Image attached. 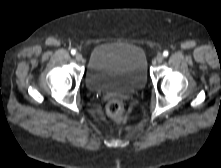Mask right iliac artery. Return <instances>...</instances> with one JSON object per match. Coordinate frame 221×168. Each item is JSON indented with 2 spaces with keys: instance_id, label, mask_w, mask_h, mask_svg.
<instances>
[{
  "instance_id": "right-iliac-artery-1",
  "label": "right iliac artery",
  "mask_w": 221,
  "mask_h": 168,
  "mask_svg": "<svg viewBox=\"0 0 221 168\" xmlns=\"http://www.w3.org/2000/svg\"><path fill=\"white\" fill-rule=\"evenodd\" d=\"M71 54H72V55H75V54H76V50H75V49H72V50H71Z\"/></svg>"
}]
</instances>
